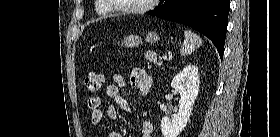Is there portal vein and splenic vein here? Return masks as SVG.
<instances>
[{
	"label": "portal vein and splenic vein",
	"mask_w": 280,
	"mask_h": 137,
	"mask_svg": "<svg viewBox=\"0 0 280 137\" xmlns=\"http://www.w3.org/2000/svg\"><path fill=\"white\" fill-rule=\"evenodd\" d=\"M161 59H164V60H165V59H167V56H165V57H163V58H161Z\"/></svg>",
	"instance_id": "obj_1"
}]
</instances>
